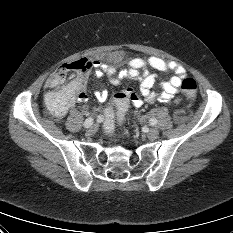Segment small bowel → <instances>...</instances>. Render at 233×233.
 Wrapping results in <instances>:
<instances>
[{
  "label": "small bowel",
  "instance_id": "1",
  "mask_svg": "<svg viewBox=\"0 0 233 233\" xmlns=\"http://www.w3.org/2000/svg\"><path fill=\"white\" fill-rule=\"evenodd\" d=\"M91 63L99 70L100 74L106 75L115 86H119L127 78L138 80L141 96L132 88L124 91L129 104L136 108L141 107L144 103L155 101L153 87L157 75L150 72L149 67L159 72L173 73L168 81L162 82L160 85L161 92L158 100L162 103H168L174 98L186 76V69L182 65L157 56L126 58L121 52L115 51L107 54L103 59H94ZM45 87L49 90L45 95L46 107L49 113L57 119L63 118L77 102L85 103L88 100L87 77L80 82L58 87L52 84V75H50L45 82ZM94 95L99 101L104 102L109 93L106 89H102L95 91Z\"/></svg>",
  "mask_w": 233,
  "mask_h": 233
}]
</instances>
